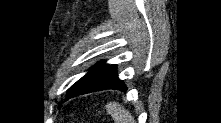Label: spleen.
Returning a JSON list of instances; mask_svg holds the SVG:
<instances>
[{
  "instance_id": "spleen-1",
  "label": "spleen",
  "mask_w": 221,
  "mask_h": 123,
  "mask_svg": "<svg viewBox=\"0 0 221 123\" xmlns=\"http://www.w3.org/2000/svg\"><path fill=\"white\" fill-rule=\"evenodd\" d=\"M106 109L114 119L115 123H134L133 116L118 103L114 102L112 104H108Z\"/></svg>"
}]
</instances>
